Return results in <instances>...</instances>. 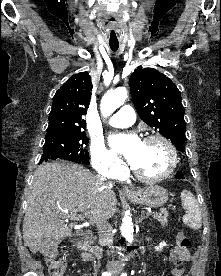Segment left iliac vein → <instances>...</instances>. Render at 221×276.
Wrapping results in <instances>:
<instances>
[{
	"label": "left iliac vein",
	"instance_id": "left-iliac-vein-1",
	"mask_svg": "<svg viewBox=\"0 0 221 276\" xmlns=\"http://www.w3.org/2000/svg\"><path fill=\"white\" fill-rule=\"evenodd\" d=\"M114 276H118V273H117V272H114Z\"/></svg>",
	"mask_w": 221,
	"mask_h": 276
}]
</instances>
